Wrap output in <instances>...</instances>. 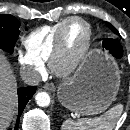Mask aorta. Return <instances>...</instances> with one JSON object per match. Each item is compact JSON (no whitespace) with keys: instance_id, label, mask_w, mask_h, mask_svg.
Here are the masks:
<instances>
[{"instance_id":"aorta-1","label":"aorta","mask_w":130,"mask_h":130,"mask_svg":"<svg viewBox=\"0 0 130 130\" xmlns=\"http://www.w3.org/2000/svg\"><path fill=\"white\" fill-rule=\"evenodd\" d=\"M36 103L40 107H47L50 104V96L46 92H39L35 97Z\"/></svg>"}]
</instances>
